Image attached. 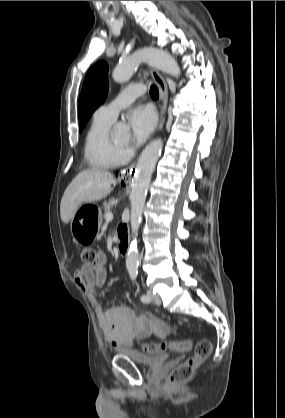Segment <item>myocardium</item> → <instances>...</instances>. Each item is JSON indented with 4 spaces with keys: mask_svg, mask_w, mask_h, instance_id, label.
I'll use <instances>...</instances> for the list:
<instances>
[{
    "mask_svg": "<svg viewBox=\"0 0 285 418\" xmlns=\"http://www.w3.org/2000/svg\"><path fill=\"white\" fill-rule=\"evenodd\" d=\"M111 143H112V145L119 151V152H121L122 151V149H123V147L122 146H120V145H117V144H115L113 141H111Z\"/></svg>",
    "mask_w": 285,
    "mask_h": 418,
    "instance_id": "1",
    "label": "myocardium"
}]
</instances>
